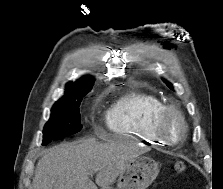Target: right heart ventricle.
<instances>
[{"label": "right heart ventricle", "mask_w": 223, "mask_h": 189, "mask_svg": "<svg viewBox=\"0 0 223 189\" xmlns=\"http://www.w3.org/2000/svg\"><path fill=\"white\" fill-rule=\"evenodd\" d=\"M165 103L141 91L122 94L107 112V127L114 134L128 135L150 145H164L155 131V121Z\"/></svg>", "instance_id": "1"}]
</instances>
